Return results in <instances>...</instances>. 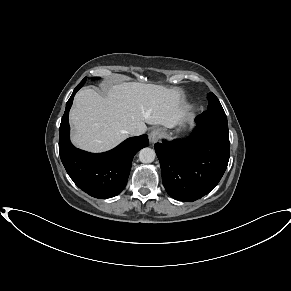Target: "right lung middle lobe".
Here are the masks:
<instances>
[{
  "label": "right lung middle lobe",
  "instance_id": "1",
  "mask_svg": "<svg viewBox=\"0 0 291 291\" xmlns=\"http://www.w3.org/2000/svg\"><path fill=\"white\" fill-rule=\"evenodd\" d=\"M93 79H97V77H94ZM85 81H86V78H84L81 82H82V84H84L85 83Z\"/></svg>",
  "mask_w": 291,
  "mask_h": 291
}]
</instances>
